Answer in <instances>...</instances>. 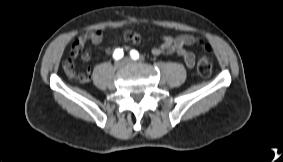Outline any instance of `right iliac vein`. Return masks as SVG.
Instances as JSON below:
<instances>
[{"instance_id":"63e3f726","label":"right iliac vein","mask_w":283,"mask_h":162,"mask_svg":"<svg viewBox=\"0 0 283 162\" xmlns=\"http://www.w3.org/2000/svg\"><path fill=\"white\" fill-rule=\"evenodd\" d=\"M124 66H125L124 61H118V62L115 63V68L117 70H121Z\"/></svg>"}]
</instances>
